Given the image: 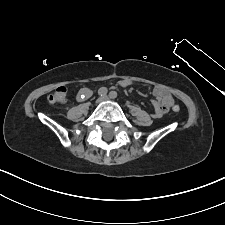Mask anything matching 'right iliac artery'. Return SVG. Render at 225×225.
Masks as SVG:
<instances>
[{"mask_svg":"<svg viewBox=\"0 0 225 225\" xmlns=\"http://www.w3.org/2000/svg\"><path fill=\"white\" fill-rule=\"evenodd\" d=\"M107 93H108V89L105 88V87H101V88L98 90V94H99L100 96H105Z\"/></svg>","mask_w":225,"mask_h":225,"instance_id":"obj_1","label":"right iliac artery"}]
</instances>
